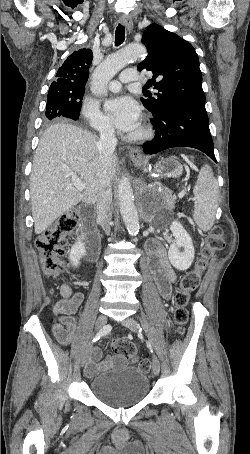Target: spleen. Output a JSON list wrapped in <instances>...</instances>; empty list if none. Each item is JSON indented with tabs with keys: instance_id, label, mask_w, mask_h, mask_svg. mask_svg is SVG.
I'll return each instance as SVG.
<instances>
[{
	"instance_id": "3e777b00",
	"label": "spleen",
	"mask_w": 250,
	"mask_h": 454,
	"mask_svg": "<svg viewBox=\"0 0 250 454\" xmlns=\"http://www.w3.org/2000/svg\"><path fill=\"white\" fill-rule=\"evenodd\" d=\"M193 193V219L200 229L208 231L214 224L219 198L218 182L209 165L201 168Z\"/></svg>"
}]
</instances>
